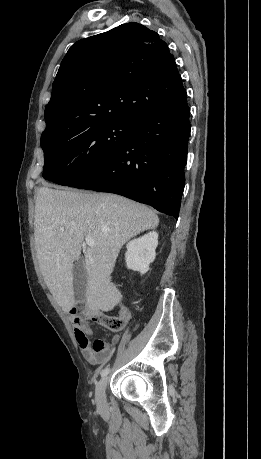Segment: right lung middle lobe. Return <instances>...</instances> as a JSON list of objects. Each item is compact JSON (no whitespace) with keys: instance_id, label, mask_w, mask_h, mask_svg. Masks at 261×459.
<instances>
[{"instance_id":"right-lung-middle-lobe-1","label":"right lung middle lobe","mask_w":261,"mask_h":459,"mask_svg":"<svg viewBox=\"0 0 261 459\" xmlns=\"http://www.w3.org/2000/svg\"><path fill=\"white\" fill-rule=\"evenodd\" d=\"M136 122L113 120L91 128L41 135L43 177L68 186L114 156L128 141Z\"/></svg>"}]
</instances>
